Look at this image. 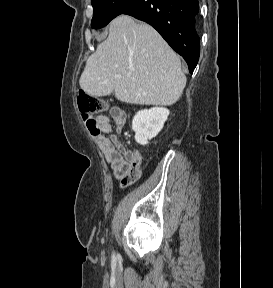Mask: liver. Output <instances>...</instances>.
<instances>
[{
    "instance_id": "obj_1",
    "label": "liver",
    "mask_w": 273,
    "mask_h": 288,
    "mask_svg": "<svg viewBox=\"0 0 273 288\" xmlns=\"http://www.w3.org/2000/svg\"><path fill=\"white\" fill-rule=\"evenodd\" d=\"M79 84L88 95L114 91L125 103L170 106L180 98L186 77L180 58L153 27L121 15L88 58Z\"/></svg>"
}]
</instances>
